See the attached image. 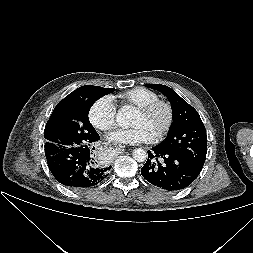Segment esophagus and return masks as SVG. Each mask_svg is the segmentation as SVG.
Returning <instances> with one entry per match:
<instances>
[{"instance_id":"1","label":"esophagus","mask_w":253,"mask_h":253,"mask_svg":"<svg viewBox=\"0 0 253 253\" xmlns=\"http://www.w3.org/2000/svg\"><path fill=\"white\" fill-rule=\"evenodd\" d=\"M106 147L114 153H120L122 151V149L116 144H107Z\"/></svg>"}]
</instances>
